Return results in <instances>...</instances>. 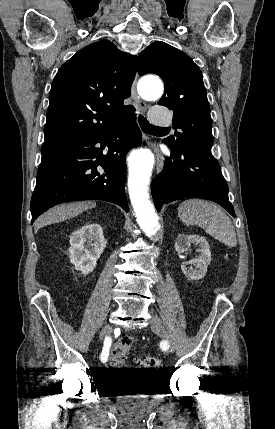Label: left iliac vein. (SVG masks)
Here are the masks:
<instances>
[{"label":"left iliac vein","instance_id":"obj_1","mask_svg":"<svg viewBox=\"0 0 275 429\" xmlns=\"http://www.w3.org/2000/svg\"><path fill=\"white\" fill-rule=\"evenodd\" d=\"M150 325H151L152 330L157 335H159V336H161L167 340L170 351H173L174 350L173 341L171 340L167 331L165 330L161 319L157 315H153L151 320H150Z\"/></svg>","mask_w":275,"mask_h":429}]
</instances>
